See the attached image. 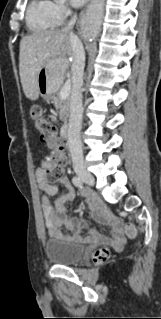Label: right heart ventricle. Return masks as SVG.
I'll use <instances>...</instances> for the list:
<instances>
[{
  "label": "right heart ventricle",
  "instance_id": "obj_1",
  "mask_svg": "<svg viewBox=\"0 0 161 319\" xmlns=\"http://www.w3.org/2000/svg\"><path fill=\"white\" fill-rule=\"evenodd\" d=\"M27 24L34 33L45 32L58 26L54 3L49 0H32L27 8Z\"/></svg>",
  "mask_w": 161,
  "mask_h": 319
}]
</instances>
